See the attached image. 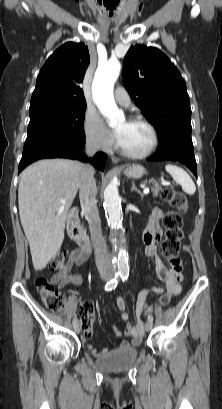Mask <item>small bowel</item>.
Masks as SVG:
<instances>
[{"label":"small bowel","instance_id":"obj_1","mask_svg":"<svg viewBox=\"0 0 222 409\" xmlns=\"http://www.w3.org/2000/svg\"><path fill=\"white\" fill-rule=\"evenodd\" d=\"M163 212L160 208L154 207L151 211L148 224L143 234L144 252L145 255L151 257L155 261V269L159 278L165 283V288L172 296H176L181 293V282L183 280V259L181 256H170L168 259L171 265L168 268L158 255L157 242L162 237V229L159 226V220L162 218ZM88 255L81 250H72L68 261L63 269L54 274L51 278V283L56 285L59 289L64 288L67 285H79L82 279L79 275L71 273V269L74 266H78L86 261ZM164 291V287L157 286L152 289L143 290L140 292L135 300V314L137 318L136 324H132L129 321V314L127 312V304L124 298L120 295L115 298V305L119 310V317L122 321L126 322L124 331L121 332L116 326L113 327V331L117 337L125 336L127 341H123L120 344L121 348L129 346H137L141 342V338L144 332L142 315L148 307V297L151 294H161ZM90 352L93 356H105L110 351L107 348H103L98 351L94 347H90Z\"/></svg>","mask_w":222,"mask_h":409}]
</instances>
